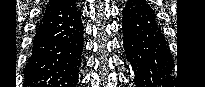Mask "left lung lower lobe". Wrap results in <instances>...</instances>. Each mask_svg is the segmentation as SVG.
Masks as SVG:
<instances>
[{"mask_svg":"<svg viewBox=\"0 0 205 87\" xmlns=\"http://www.w3.org/2000/svg\"><path fill=\"white\" fill-rule=\"evenodd\" d=\"M122 14L124 50L136 87L166 86L173 79L174 61L155 12L146 0H128Z\"/></svg>","mask_w":205,"mask_h":87,"instance_id":"obj_1","label":"left lung lower lobe"}]
</instances>
